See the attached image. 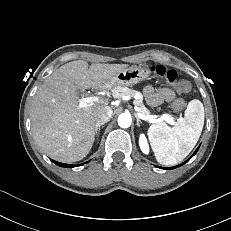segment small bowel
<instances>
[{"label":"small bowel","mask_w":231,"mask_h":231,"mask_svg":"<svg viewBox=\"0 0 231 231\" xmlns=\"http://www.w3.org/2000/svg\"><path fill=\"white\" fill-rule=\"evenodd\" d=\"M144 94L151 105H159L164 102H170L175 97L174 91L169 88L155 90L152 86L145 87Z\"/></svg>","instance_id":"small-bowel-1"}]
</instances>
